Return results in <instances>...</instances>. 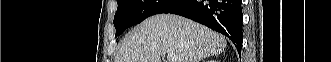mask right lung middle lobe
Returning <instances> with one entry per match:
<instances>
[{
    "label": "right lung middle lobe",
    "instance_id": "1",
    "mask_svg": "<svg viewBox=\"0 0 331 62\" xmlns=\"http://www.w3.org/2000/svg\"><path fill=\"white\" fill-rule=\"evenodd\" d=\"M179 0H117L118 8L114 17L115 37L132 25L149 16L162 13Z\"/></svg>",
    "mask_w": 331,
    "mask_h": 62
}]
</instances>
